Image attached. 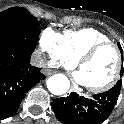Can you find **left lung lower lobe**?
<instances>
[{
	"label": "left lung lower lobe",
	"instance_id": "0a47b994",
	"mask_svg": "<svg viewBox=\"0 0 124 124\" xmlns=\"http://www.w3.org/2000/svg\"><path fill=\"white\" fill-rule=\"evenodd\" d=\"M120 86L93 95L92 99L79 96L76 92L67 97L56 98L52 108L56 118L63 124H101L113 111Z\"/></svg>",
	"mask_w": 124,
	"mask_h": 124
}]
</instances>
